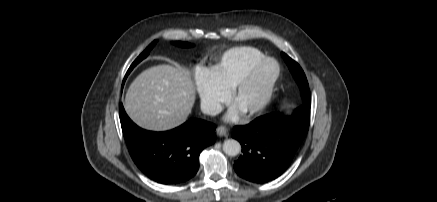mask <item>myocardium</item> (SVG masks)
Masks as SVG:
<instances>
[{"mask_svg":"<svg viewBox=\"0 0 437 202\" xmlns=\"http://www.w3.org/2000/svg\"><path fill=\"white\" fill-rule=\"evenodd\" d=\"M272 63L275 66V72L270 79L265 92L261 98V100L252 108L243 112L244 117L251 118L262 113L267 106L270 104L277 83L279 81L281 75V67L277 60L270 57H265L250 66V68L246 71V73L242 76V78L237 82V84L232 89L231 99L233 102L237 100L240 94L247 88V86L252 82L258 70L268 64Z\"/></svg>","mask_w":437,"mask_h":202,"instance_id":"obj_1","label":"myocardium"}]
</instances>
